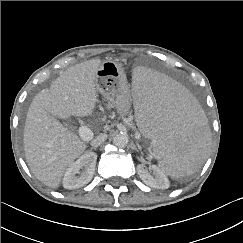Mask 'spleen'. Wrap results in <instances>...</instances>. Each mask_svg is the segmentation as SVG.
Listing matches in <instances>:
<instances>
[{"instance_id": "obj_1", "label": "spleen", "mask_w": 243, "mask_h": 243, "mask_svg": "<svg viewBox=\"0 0 243 243\" xmlns=\"http://www.w3.org/2000/svg\"><path fill=\"white\" fill-rule=\"evenodd\" d=\"M136 129L172 178L192 174L208 154L209 129L194 98L174 78L148 67L131 76Z\"/></svg>"}]
</instances>
